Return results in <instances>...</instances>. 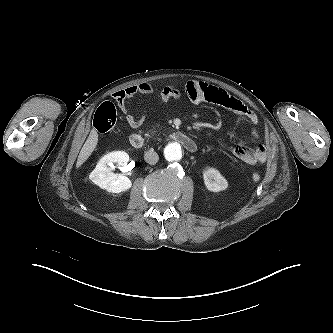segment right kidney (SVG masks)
Here are the masks:
<instances>
[{
	"mask_svg": "<svg viewBox=\"0 0 333 333\" xmlns=\"http://www.w3.org/2000/svg\"><path fill=\"white\" fill-rule=\"evenodd\" d=\"M129 161V155L124 151H114L103 156L96 168L89 175L90 180L100 188L112 193H120L131 188V180L123 175L111 172L114 163L123 164Z\"/></svg>",
	"mask_w": 333,
	"mask_h": 333,
	"instance_id": "ca27d5eb",
	"label": "right kidney"
}]
</instances>
